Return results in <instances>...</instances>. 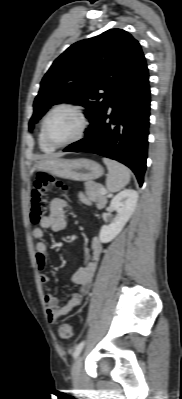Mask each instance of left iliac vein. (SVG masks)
<instances>
[{"label":"left iliac vein","mask_w":182,"mask_h":399,"mask_svg":"<svg viewBox=\"0 0 182 399\" xmlns=\"http://www.w3.org/2000/svg\"><path fill=\"white\" fill-rule=\"evenodd\" d=\"M82 364L83 356L80 355L74 362L71 370V375L74 382H78L81 379Z\"/></svg>","instance_id":"4c4485c4"}]
</instances>
